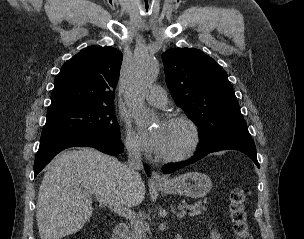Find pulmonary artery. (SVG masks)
<instances>
[{"instance_id": "1", "label": "pulmonary artery", "mask_w": 304, "mask_h": 239, "mask_svg": "<svg viewBox=\"0 0 304 239\" xmlns=\"http://www.w3.org/2000/svg\"><path fill=\"white\" fill-rule=\"evenodd\" d=\"M146 101L155 107H163L167 103V95L162 87L153 85L144 94Z\"/></svg>"}]
</instances>
